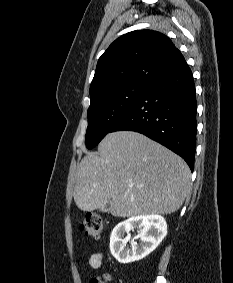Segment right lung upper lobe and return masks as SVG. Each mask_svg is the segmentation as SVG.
<instances>
[{
	"label": "right lung upper lobe",
	"mask_w": 233,
	"mask_h": 283,
	"mask_svg": "<svg viewBox=\"0 0 233 283\" xmlns=\"http://www.w3.org/2000/svg\"><path fill=\"white\" fill-rule=\"evenodd\" d=\"M184 60L164 34L138 30L116 39L98 60L90 98L132 82L150 83Z\"/></svg>",
	"instance_id": "cb5924a9"
}]
</instances>
